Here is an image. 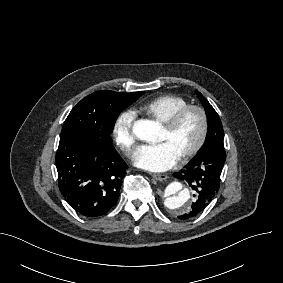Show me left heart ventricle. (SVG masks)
<instances>
[{"label": "left heart ventricle", "mask_w": 283, "mask_h": 283, "mask_svg": "<svg viewBox=\"0 0 283 283\" xmlns=\"http://www.w3.org/2000/svg\"><path fill=\"white\" fill-rule=\"evenodd\" d=\"M200 133V117L192 111L180 120L174 130L169 132L164 127L156 142H167L181 157L197 143Z\"/></svg>", "instance_id": "obj_1"}]
</instances>
